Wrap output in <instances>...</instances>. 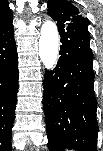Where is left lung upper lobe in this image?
<instances>
[{
    "label": "left lung upper lobe",
    "mask_w": 103,
    "mask_h": 151,
    "mask_svg": "<svg viewBox=\"0 0 103 151\" xmlns=\"http://www.w3.org/2000/svg\"><path fill=\"white\" fill-rule=\"evenodd\" d=\"M48 9V15L57 21L59 30L73 24L84 27L89 25V21L79 13L77 7L68 1L49 0Z\"/></svg>",
    "instance_id": "left-lung-upper-lobe-1"
}]
</instances>
